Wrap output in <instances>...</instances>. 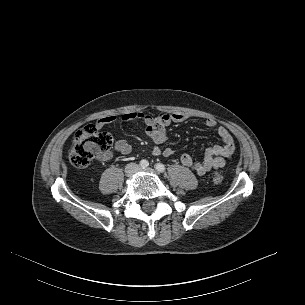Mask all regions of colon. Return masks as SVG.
<instances>
[{"label": "colon", "instance_id": "colon-1", "mask_svg": "<svg viewBox=\"0 0 305 305\" xmlns=\"http://www.w3.org/2000/svg\"><path fill=\"white\" fill-rule=\"evenodd\" d=\"M72 142L69 161L77 168H84L97 155L107 152L111 148L113 138L109 133L99 130L95 125H87L75 133ZM211 178L215 184L223 181V175L220 171H214Z\"/></svg>", "mask_w": 305, "mask_h": 305}]
</instances>
